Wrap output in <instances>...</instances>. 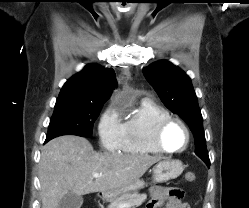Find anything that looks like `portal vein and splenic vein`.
Masks as SVG:
<instances>
[{
    "mask_svg": "<svg viewBox=\"0 0 249 208\" xmlns=\"http://www.w3.org/2000/svg\"><path fill=\"white\" fill-rule=\"evenodd\" d=\"M102 175L101 174H98V173H94L93 174V177L94 178H98V177H101ZM127 206L126 205H124V206H122V208H126Z\"/></svg>",
    "mask_w": 249,
    "mask_h": 208,
    "instance_id": "obj_1",
    "label": "portal vein and splenic vein"
}]
</instances>
